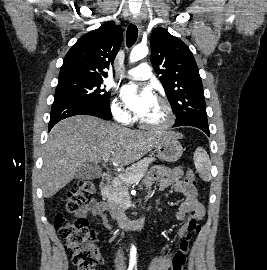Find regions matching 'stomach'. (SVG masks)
Masks as SVG:
<instances>
[{"mask_svg":"<svg viewBox=\"0 0 267 270\" xmlns=\"http://www.w3.org/2000/svg\"><path fill=\"white\" fill-rule=\"evenodd\" d=\"M155 152L160 159L175 162L182 156L183 148L177 138L168 137L156 146Z\"/></svg>","mask_w":267,"mask_h":270,"instance_id":"obj_1","label":"stomach"}]
</instances>
